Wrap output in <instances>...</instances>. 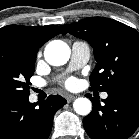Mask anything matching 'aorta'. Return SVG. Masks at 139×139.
I'll return each instance as SVG.
<instances>
[{
    "instance_id": "aorta-1",
    "label": "aorta",
    "mask_w": 139,
    "mask_h": 139,
    "mask_svg": "<svg viewBox=\"0 0 139 139\" xmlns=\"http://www.w3.org/2000/svg\"><path fill=\"white\" fill-rule=\"evenodd\" d=\"M44 57L50 65H64L69 60L70 48L61 40L51 41L45 47ZM73 107L77 114L86 116L92 110V103L88 98L80 97L74 101Z\"/></svg>"
}]
</instances>
